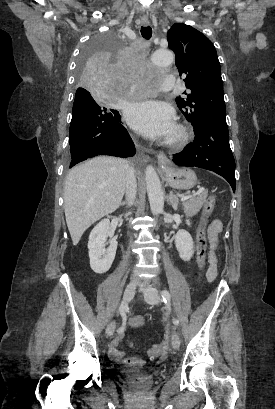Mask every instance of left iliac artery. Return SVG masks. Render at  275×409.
<instances>
[{
  "mask_svg": "<svg viewBox=\"0 0 275 409\" xmlns=\"http://www.w3.org/2000/svg\"><path fill=\"white\" fill-rule=\"evenodd\" d=\"M161 296H162L163 302L166 304V308L170 311L171 310V303H170L171 302V294H170V292L168 290H162L161 291ZM172 321H173V324L176 325V326L179 324V321H178L177 318H173Z\"/></svg>",
  "mask_w": 275,
  "mask_h": 409,
  "instance_id": "44dca946",
  "label": "left iliac artery"
}]
</instances>
